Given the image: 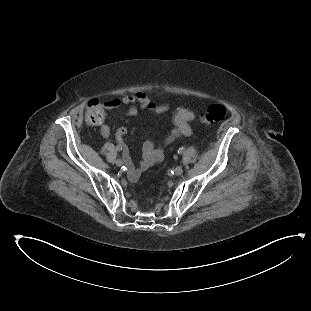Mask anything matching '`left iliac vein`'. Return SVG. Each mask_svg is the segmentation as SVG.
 <instances>
[{
  "label": "left iliac vein",
  "instance_id": "1",
  "mask_svg": "<svg viewBox=\"0 0 311 311\" xmlns=\"http://www.w3.org/2000/svg\"><path fill=\"white\" fill-rule=\"evenodd\" d=\"M174 173L175 175L179 176L183 173V168L181 166H177L175 169H174Z\"/></svg>",
  "mask_w": 311,
  "mask_h": 311
}]
</instances>
